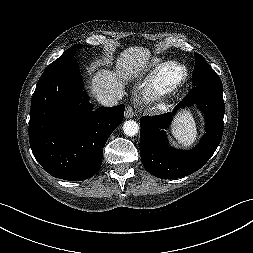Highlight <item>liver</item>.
I'll use <instances>...</instances> for the list:
<instances>
[{
    "label": "liver",
    "mask_w": 253,
    "mask_h": 253,
    "mask_svg": "<svg viewBox=\"0 0 253 253\" xmlns=\"http://www.w3.org/2000/svg\"><path fill=\"white\" fill-rule=\"evenodd\" d=\"M150 58V51L144 47L125 49L116 61V71L100 70L91 79V93L116 94L125 92V81L133 74L142 71Z\"/></svg>",
    "instance_id": "liver-1"
}]
</instances>
